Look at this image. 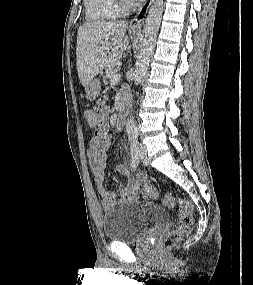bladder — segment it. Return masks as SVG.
Segmentation results:
<instances>
[{"label":"bladder","mask_w":253,"mask_h":285,"mask_svg":"<svg viewBox=\"0 0 253 285\" xmlns=\"http://www.w3.org/2000/svg\"><path fill=\"white\" fill-rule=\"evenodd\" d=\"M168 220L167 211L154 204L119 201L102 216L104 237L113 242L131 243Z\"/></svg>","instance_id":"31cf9c89"}]
</instances>
